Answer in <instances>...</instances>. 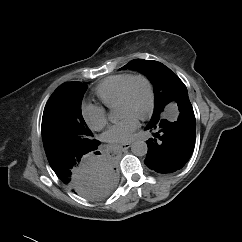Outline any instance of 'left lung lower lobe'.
<instances>
[{
  "instance_id": "left-lung-lower-lobe-1",
  "label": "left lung lower lobe",
  "mask_w": 242,
  "mask_h": 242,
  "mask_svg": "<svg viewBox=\"0 0 242 242\" xmlns=\"http://www.w3.org/2000/svg\"><path fill=\"white\" fill-rule=\"evenodd\" d=\"M179 116L174 121L160 115L151 119L146 129L152 130L145 164L159 173L180 170L189 160L195 145L196 120L189 97L177 101Z\"/></svg>"
}]
</instances>
